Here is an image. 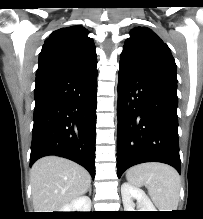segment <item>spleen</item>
I'll use <instances>...</instances> for the list:
<instances>
[{
	"label": "spleen",
	"mask_w": 203,
	"mask_h": 219,
	"mask_svg": "<svg viewBox=\"0 0 203 219\" xmlns=\"http://www.w3.org/2000/svg\"><path fill=\"white\" fill-rule=\"evenodd\" d=\"M127 180L135 186L145 185L159 211L177 210L180 191V176L169 165L144 163L131 167Z\"/></svg>",
	"instance_id": "3e777b00"
}]
</instances>
